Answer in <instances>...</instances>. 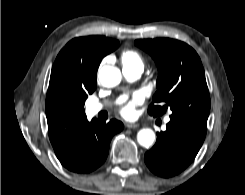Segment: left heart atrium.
Wrapping results in <instances>:
<instances>
[{"mask_svg": "<svg viewBox=\"0 0 245 195\" xmlns=\"http://www.w3.org/2000/svg\"><path fill=\"white\" fill-rule=\"evenodd\" d=\"M142 98L139 94H135L132 99L121 109V114L126 118H131L135 115V107L140 104Z\"/></svg>", "mask_w": 245, "mask_h": 195, "instance_id": "left-heart-atrium-1", "label": "left heart atrium"}]
</instances>
